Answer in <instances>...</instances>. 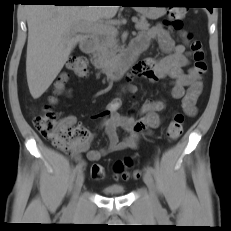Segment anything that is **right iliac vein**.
<instances>
[{
  "mask_svg": "<svg viewBox=\"0 0 231 231\" xmlns=\"http://www.w3.org/2000/svg\"><path fill=\"white\" fill-rule=\"evenodd\" d=\"M84 183V174L82 172L78 173L75 180V195H77ZM73 206V204L71 205Z\"/></svg>",
  "mask_w": 231,
  "mask_h": 231,
  "instance_id": "obj_1",
  "label": "right iliac vein"
}]
</instances>
